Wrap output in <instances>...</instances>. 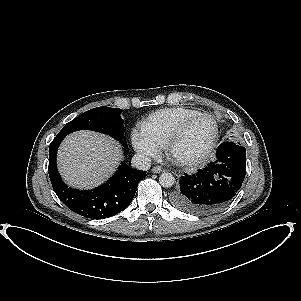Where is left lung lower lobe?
<instances>
[{"label":"left lung lower lobe","mask_w":301,"mask_h":301,"mask_svg":"<svg viewBox=\"0 0 301 301\" xmlns=\"http://www.w3.org/2000/svg\"><path fill=\"white\" fill-rule=\"evenodd\" d=\"M215 162L194 175L182 176L171 201L186 212L210 214L230 203L246 173V149L232 142L219 145Z\"/></svg>","instance_id":"left-lung-lower-lobe-1"}]
</instances>
